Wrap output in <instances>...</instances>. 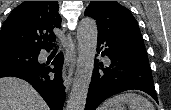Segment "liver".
<instances>
[{
	"instance_id": "liver-1",
	"label": "liver",
	"mask_w": 171,
	"mask_h": 110,
	"mask_svg": "<svg viewBox=\"0 0 171 110\" xmlns=\"http://www.w3.org/2000/svg\"><path fill=\"white\" fill-rule=\"evenodd\" d=\"M0 110H49V107L26 81L0 78Z\"/></svg>"
}]
</instances>
